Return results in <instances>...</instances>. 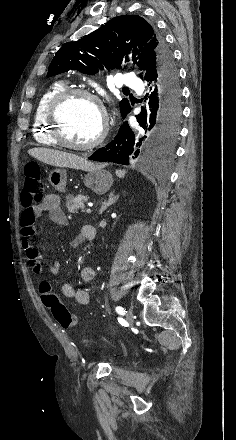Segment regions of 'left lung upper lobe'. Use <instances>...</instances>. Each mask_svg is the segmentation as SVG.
<instances>
[{
    "label": "left lung upper lobe",
    "mask_w": 236,
    "mask_h": 440,
    "mask_svg": "<svg viewBox=\"0 0 236 440\" xmlns=\"http://www.w3.org/2000/svg\"><path fill=\"white\" fill-rule=\"evenodd\" d=\"M130 59L140 70L150 63L171 60L172 54L163 37L145 19L136 15L118 16L99 30L76 42L65 43L48 68L53 76L68 70L95 74L98 70L120 68ZM121 115L130 107L124 98L119 102Z\"/></svg>",
    "instance_id": "5c2ea615"
}]
</instances>
